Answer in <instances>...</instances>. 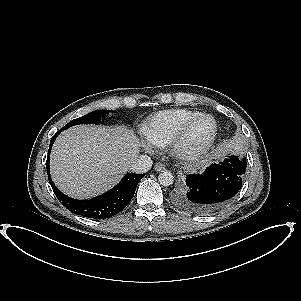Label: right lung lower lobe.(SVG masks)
Here are the masks:
<instances>
[{
  "label": "right lung lower lobe",
  "instance_id": "1",
  "mask_svg": "<svg viewBox=\"0 0 301 301\" xmlns=\"http://www.w3.org/2000/svg\"><path fill=\"white\" fill-rule=\"evenodd\" d=\"M61 131H63V129H60L51 138L46 162L48 179L58 200L71 212L94 219L109 218L124 209L131 201L132 197L134 196L137 184L145 174H126L122 178V180L111 190L89 200L72 199L64 195L57 189V187L53 184L49 174V154L53 142Z\"/></svg>",
  "mask_w": 301,
  "mask_h": 301
}]
</instances>
